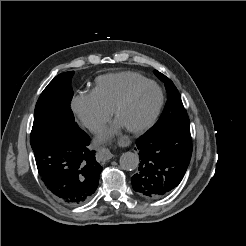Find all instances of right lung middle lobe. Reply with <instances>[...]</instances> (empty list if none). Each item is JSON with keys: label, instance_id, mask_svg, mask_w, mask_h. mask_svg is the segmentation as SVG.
<instances>
[{"label": "right lung middle lobe", "instance_id": "right-lung-middle-lobe-1", "mask_svg": "<svg viewBox=\"0 0 246 246\" xmlns=\"http://www.w3.org/2000/svg\"><path fill=\"white\" fill-rule=\"evenodd\" d=\"M74 71L56 76L41 93L34 111L30 135L31 146L57 128H70L75 123L70 108L73 97L71 79Z\"/></svg>", "mask_w": 246, "mask_h": 246}]
</instances>
